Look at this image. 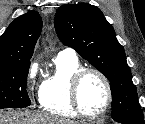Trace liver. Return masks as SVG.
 Masks as SVG:
<instances>
[{
  "instance_id": "1",
  "label": "liver",
  "mask_w": 145,
  "mask_h": 124,
  "mask_svg": "<svg viewBox=\"0 0 145 124\" xmlns=\"http://www.w3.org/2000/svg\"><path fill=\"white\" fill-rule=\"evenodd\" d=\"M0 124H78L69 119L30 111H0Z\"/></svg>"
}]
</instances>
